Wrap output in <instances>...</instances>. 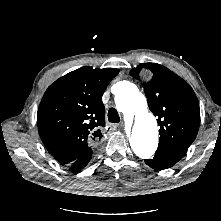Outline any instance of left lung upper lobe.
<instances>
[{
	"instance_id": "5c2ea615",
	"label": "left lung upper lobe",
	"mask_w": 221,
	"mask_h": 221,
	"mask_svg": "<svg viewBox=\"0 0 221 221\" xmlns=\"http://www.w3.org/2000/svg\"><path fill=\"white\" fill-rule=\"evenodd\" d=\"M143 67L153 72L152 80L143 83V87L148 106L160 126L157 150L184 156L200 125L198 99L182 78L160 64H140L130 75L138 78Z\"/></svg>"
}]
</instances>
